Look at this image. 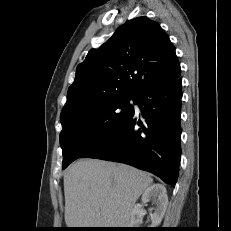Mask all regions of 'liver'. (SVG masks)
<instances>
[{
  "label": "liver",
  "mask_w": 231,
  "mask_h": 231,
  "mask_svg": "<svg viewBox=\"0 0 231 231\" xmlns=\"http://www.w3.org/2000/svg\"><path fill=\"white\" fill-rule=\"evenodd\" d=\"M146 172L125 164L79 160L64 174L68 228H128L133 206L152 184Z\"/></svg>",
  "instance_id": "obj_1"
}]
</instances>
